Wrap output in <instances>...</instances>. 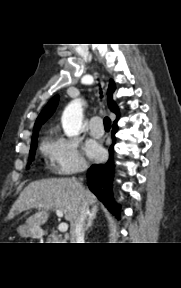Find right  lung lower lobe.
Instances as JSON below:
<instances>
[{
    "mask_svg": "<svg viewBox=\"0 0 181 288\" xmlns=\"http://www.w3.org/2000/svg\"><path fill=\"white\" fill-rule=\"evenodd\" d=\"M117 124L112 127V140L115 143ZM109 160L105 164H95L88 169L87 184L90 190L102 201L107 209L119 218L121 206L117 205L112 193V179L114 172L113 145L109 149Z\"/></svg>",
    "mask_w": 181,
    "mask_h": 288,
    "instance_id": "right-lung-lower-lobe-1",
    "label": "right lung lower lobe"
}]
</instances>
